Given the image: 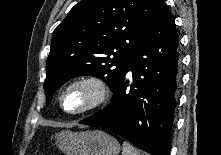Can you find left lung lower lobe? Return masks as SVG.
<instances>
[{
	"label": "left lung lower lobe",
	"instance_id": "left-lung-lower-lobe-1",
	"mask_svg": "<svg viewBox=\"0 0 221 155\" xmlns=\"http://www.w3.org/2000/svg\"><path fill=\"white\" fill-rule=\"evenodd\" d=\"M128 71L133 75L131 90ZM178 82V36L164 4L137 43L111 103L80 124L109 129L152 155H169Z\"/></svg>",
	"mask_w": 221,
	"mask_h": 155
}]
</instances>
